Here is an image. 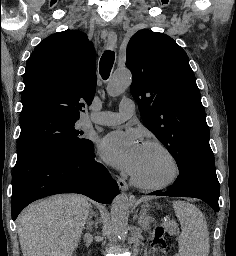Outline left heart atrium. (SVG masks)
Instances as JSON below:
<instances>
[{
  "label": "left heart atrium",
  "instance_id": "obj_1",
  "mask_svg": "<svg viewBox=\"0 0 236 256\" xmlns=\"http://www.w3.org/2000/svg\"><path fill=\"white\" fill-rule=\"evenodd\" d=\"M143 145L135 130L114 131L104 137L101 153L111 165L132 173L138 163Z\"/></svg>",
  "mask_w": 236,
  "mask_h": 256
}]
</instances>
